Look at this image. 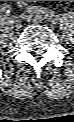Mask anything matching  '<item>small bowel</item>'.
Here are the masks:
<instances>
[{
    "mask_svg": "<svg viewBox=\"0 0 74 122\" xmlns=\"http://www.w3.org/2000/svg\"><path fill=\"white\" fill-rule=\"evenodd\" d=\"M25 2H26V1H21V2H20V5H23Z\"/></svg>",
    "mask_w": 74,
    "mask_h": 122,
    "instance_id": "small-bowel-1",
    "label": "small bowel"
}]
</instances>
